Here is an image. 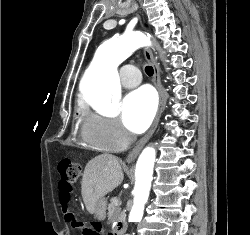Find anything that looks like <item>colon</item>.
Returning <instances> with one entry per match:
<instances>
[{
  "label": "colon",
  "instance_id": "5ec220e1",
  "mask_svg": "<svg viewBox=\"0 0 250 235\" xmlns=\"http://www.w3.org/2000/svg\"><path fill=\"white\" fill-rule=\"evenodd\" d=\"M58 173H59V183L58 188L60 194H68L71 193L72 184L78 179L81 173V166L78 162L73 161L71 159H64L58 165ZM66 222L70 223L75 229L82 231L85 235H89V231L84 230L80 222H78L73 214L66 213L65 214Z\"/></svg>",
  "mask_w": 250,
  "mask_h": 235
}]
</instances>
